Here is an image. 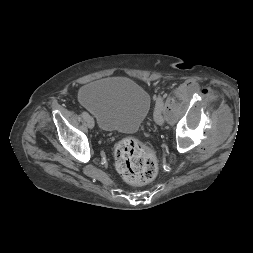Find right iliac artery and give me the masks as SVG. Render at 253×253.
Listing matches in <instances>:
<instances>
[{
  "instance_id": "1",
  "label": "right iliac artery",
  "mask_w": 253,
  "mask_h": 253,
  "mask_svg": "<svg viewBox=\"0 0 253 253\" xmlns=\"http://www.w3.org/2000/svg\"><path fill=\"white\" fill-rule=\"evenodd\" d=\"M89 116V114L87 113V112H82V117L84 118V119H86L87 117Z\"/></svg>"
}]
</instances>
